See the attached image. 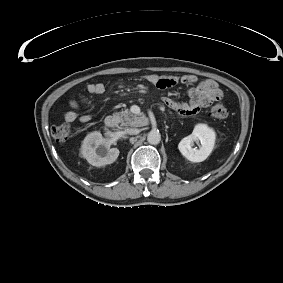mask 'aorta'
Here are the masks:
<instances>
[{"mask_svg": "<svg viewBox=\"0 0 283 283\" xmlns=\"http://www.w3.org/2000/svg\"><path fill=\"white\" fill-rule=\"evenodd\" d=\"M147 141L149 144L157 145L161 141V134L157 130H151L147 135Z\"/></svg>", "mask_w": 283, "mask_h": 283, "instance_id": "obj_1", "label": "aorta"}]
</instances>
